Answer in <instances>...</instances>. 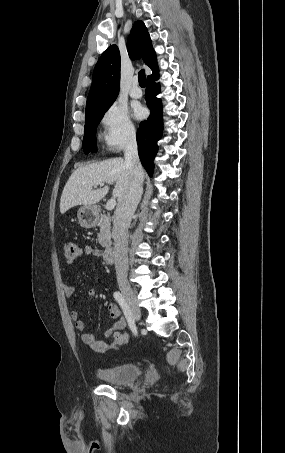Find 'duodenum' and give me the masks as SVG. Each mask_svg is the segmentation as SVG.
I'll return each mask as SVG.
<instances>
[{
    "label": "duodenum",
    "instance_id": "obj_1",
    "mask_svg": "<svg viewBox=\"0 0 285 453\" xmlns=\"http://www.w3.org/2000/svg\"><path fill=\"white\" fill-rule=\"evenodd\" d=\"M103 258L107 263H112L115 259V249L112 245H107L103 251Z\"/></svg>",
    "mask_w": 285,
    "mask_h": 453
}]
</instances>
